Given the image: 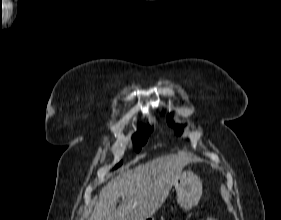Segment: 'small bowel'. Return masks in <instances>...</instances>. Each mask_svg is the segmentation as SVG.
<instances>
[{"instance_id": "small-bowel-1", "label": "small bowel", "mask_w": 281, "mask_h": 220, "mask_svg": "<svg viewBox=\"0 0 281 220\" xmlns=\"http://www.w3.org/2000/svg\"><path fill=\"white\" fill-rule=\"evenodd\" d=\"M206 220H217V219L210 217V218H207Z\"/></svg>"}]
</instances>
